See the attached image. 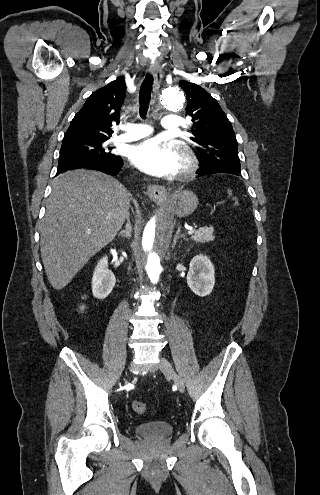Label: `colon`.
I'll use <instances>...</instances> for the list:
<instances>
[{
  "mask_svg": "<svg viewBox=\"0 0 320 495\" xmlns=\"http://www.w3.org/2000/svg\"><path fill=\"white\" fill-rule=\"evenodd\" d=\"M228 195L232 199H236V197H234L232 195L231 190H228ZM132 408H133L134 412L137 413V414H144L147 411V405L145 403H143V402H140V401H135L132 404Z\"/></svg>",
  "mask_w": 320,
  "mask_h": 495,
  "instance_id": "5ec220e1",
  "label": "colon"
}]
</instances>
